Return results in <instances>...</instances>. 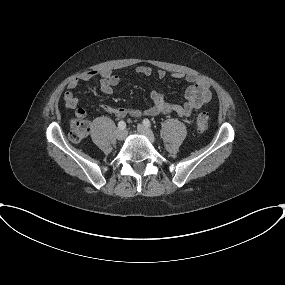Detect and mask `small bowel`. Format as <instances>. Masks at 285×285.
Instances as JSON below:
<instances>
[{"label":"small bowel","mask_w":285,"mask_h":285,"mask_svg":"<svg viewBox=\"0 0 285 285\" xmlns=\"http://www.w3.org/2000/svg\"><path fill=\"white\" fill-rule=\"evenodd\" d=\"M135 73L141 76H150L153 70L149 66H139L135 69ZM156 75L159 79L167 77L164 70H158ZM171 76L175 79H184L190 83L185 91V103L183 105L168 103L165 101L162 91L153 90L151 92L152 105L144 110L112 107L106 104H102L101 107L105 112L113 114L117 118H139L143 115L156 116L159 114H176L181 117H188L211 100L210 84L204 77L184 72H175ZM95 77L100 78V91L106 95L113 94L114 87L119 84L121 79L117 73L110 70H91L70 80L68 90L64 94V102L69 109H76L75 117L77 119L84 118L86 111L83 108H77L78 99L73 90L81 82L89 81Z\"/></svg>","instance_id":"small-bowel-1"}]
</instances>
